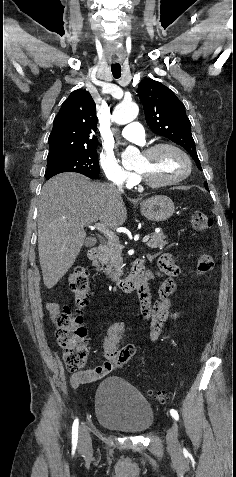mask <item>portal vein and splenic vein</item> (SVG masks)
<instances>
[{
    "label": "portal vein and splenic vein",
    "mask_w": 236,
    "mask_h": 477,
    "mask_svg": "<svg viewBox=\"0 0 236 477\" xmlns=\"http://www.w3.org/2000/svg\"><path fill=\"white\" fill-rule=\"evenodd\" d=\"M89 227L91 229H97L102 234H104V236L110 241L118 240L117 235L114 232H112L111 230H109V228L102 223H96L94 225H90ZM149 238H150L149 235L144 236L143 239H142V242H144V243L147 242L149 240Z\"/></svg>",
    "instance_id": "1"
}]
</instances>
